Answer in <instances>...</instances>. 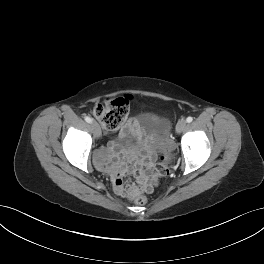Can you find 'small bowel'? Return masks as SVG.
Returning <instances> with one entry per match:
<instances>
[{
    "label": "small bowel",
    "mask_w": 264,
    "mask_h": 264,
    "mask_svg": "<svg viewBox=\"0 0 264 264\" xmlns=\"http://www.w3.org/2000/svg\"><path fill=\"white\" fill-rule=\"evenodd\" d=\"M136 125V121L134 119H130L125 127V130H129L133 128ZM114 148L113 145H110L108 147L102 148L98 152V161L97 166L100 169H110L113 175L114 179V189L119 194V188H120V179L125 176L127 172V166L122 158L116 157L114 158L108 165L106 164V159L108 158L109 152L112 151ZM130 159L135 161L136 163H139V159L131 156ZM120 195V194H119Z\"/></svg>",
    "instance_id": "small-bowel-1"
}]
</instances>
